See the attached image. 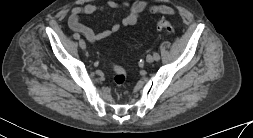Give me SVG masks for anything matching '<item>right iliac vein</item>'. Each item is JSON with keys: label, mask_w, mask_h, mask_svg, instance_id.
<instances>
[{"label": "right iliac vein", "mask_w": 253, "mask_h": 138, "mask_svg": "<svg viewBox=\"0 0 253 138\" xmlns=\"http://www.w3.org/2000/svg\"><path fill=\"white\" fill-rule=\"evenodd\" d=\"M79 45H80L81 49H83V50L86 49V43L83 39L79 40Z\"/></svg>", "instance_id": "right-iliac-vein-1"}]
</instances>
